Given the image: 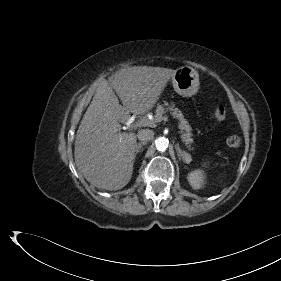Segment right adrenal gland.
Wrapping results in <instances>:
<instances>
[{
	"label": "right adrenal gland",
	"mask_w": 281,
	"mask_h": 281,
	"mask_svg": "<svg viewBox=\"0 0 281 281\" xmlns=\"http://www.w3.org/2000/svg\"><path fill=\"white\" fill-rule=\"evenodd\" d=\"M146 144H147L146 142H140V143L136 144L135 157L139 152H143V146Z\"/></svg>",
	"instance_id": "1"
}]
</instances>
